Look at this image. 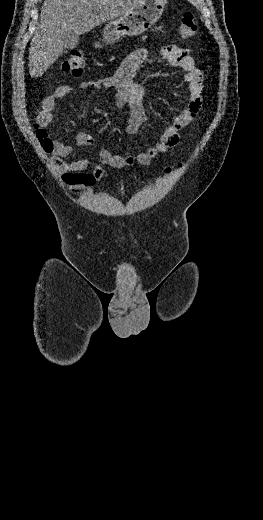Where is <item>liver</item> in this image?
Segmentation results:
<instances>
[{
    "mask_svg": "<svg viewBox=\"0 0 263 520\" xmlns=\"http://www.w3.org/2000/svg\"><path fill=\"white\" fill-rule=\"evenodd\" d=\"M144 0H45L40 24L29 48V74L40 77L59 58L63 36L85 34L113 20Z\"/></svg>",
    "mask_w": 263,
    "mask_h": 520,
    "instance_id": "1",
    "label": "liver"
}]
</instances>
